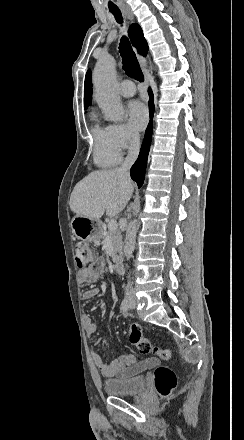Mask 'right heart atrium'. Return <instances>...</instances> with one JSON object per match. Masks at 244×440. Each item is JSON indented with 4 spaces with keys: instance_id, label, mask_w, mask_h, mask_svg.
<instances>
[{
    "instance_id": "obj_1",
    "label": "right heart atrium",
    "mask_w": 244,
    "mask_h": 440,
    "mask_svg": "<svg viewBox=\"0 0 244 440\" xmlns=\"http://www.w3.org/2000/svg\"><path fill=\"white\" fill-rule=\"evenodd\" d=\"M105 149L110 152H121L137 140L136 132L127 124L111 123L106 128Z\"/></svg>"
}]
</instances>
